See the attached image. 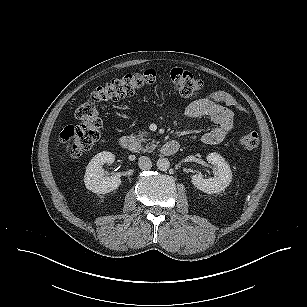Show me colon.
Returning a JSON list of instances; mask_svg holds the SVG:
<instances>
[{"label":"colon","instance_id":"5ec220e1","mask_svg":"<svg viewBox=\"0 0 307 307\" xmlns=\"http://www.w3.org/2000/svg\"><path fill=\"white\" fill-rule=\"evenodd\" d=\"M157 85H169L179 95L191 97L201 90L202 81L189 71L174 68L166 72L146 70L128 73L97 87L76 110L75 115L80 125L69 126L61 134V143L68 154L79 157L99 140L102 128V119L97 109L99 104L135 96ZM259 144L260 139L256 133L241 135L237 139V146L242 149L252 150Z\"/></svg>","mask_w":307,"mask_h":307}]
</instances>
